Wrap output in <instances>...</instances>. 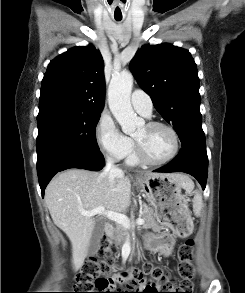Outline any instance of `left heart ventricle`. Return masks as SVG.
Wrapping results in <instances>:
<instances>
[{"mask_svg":"<svg viewBox=\"0 0 245 293\" xmlns=\"http://www.w3.org/2000/svg\"><path fill=\"white\" fill-rule=\"evenodd\" d=\"M144 155L151 160H161L170 155L173 139L170 132L161 127H140L134 134Z\"/></svg>","mask_w":245,"mask_h":293,"instance_id":"left-heart-ventricle-1","label":"left heart ventricle"}]
</instances>
